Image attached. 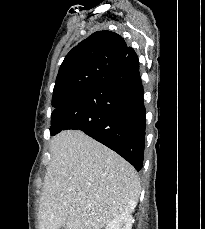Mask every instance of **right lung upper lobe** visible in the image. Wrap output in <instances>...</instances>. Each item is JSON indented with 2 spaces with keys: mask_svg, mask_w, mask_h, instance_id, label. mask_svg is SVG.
I'll use <instances>...</instances> for the list:
<instances>
[{
  "mask_svg": "<svg viewBox=\"0 0 205 229\" xmlns=\"http://www.w3.org/2000/svg\"><path fill=\"white\" fill-rule=\"evenodd\" d=\"M124 39L111 31H98L80 42L62 62L53 91L52 106L71 98L103 79L124 62L129 50Z\"/></svg>",
  "mask_w": 205,
  "mask_h": 229,
  "instance_id": "obj_1",
  "label": "right lung upper lobe"
}]
</instances>
